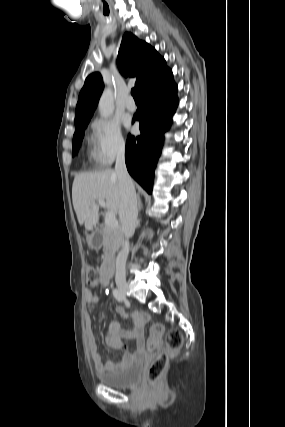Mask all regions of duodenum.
Masks as SVG:
<instances>
[{"mask_svg":"<svg viewBox=\"0 0 285 427\" xmlns=\"http://www.w3.org/2000/svg\"><path fill=\"white\" fill-rule=\"evenodd\" d=\"M114 257L112 254H108L107 259L104 263L103 266V273L105 275L106 278H110V276L112 275L113 271H114Z\"/></svg>","mask_w":285,"mask_h":427,"instance_id":"410a0bca","label":"duodenum"}]
</instances>
